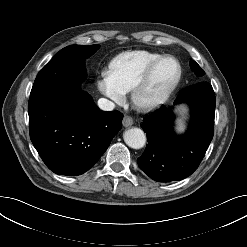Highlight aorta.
<instances>
[{
  "label": "aorta",
  "mask_w": 247,
  "mask_h": 247,
  "mask_svg": "<svg viewBox=\"0 0 247 247\" xmlns=\"http://www.w3.org/2000/svg\"><path fill=\"white\" fill-rule=\"evenodd\" d=\"M123 139L125 143L133 149H140L144 147L146 143V135L139 128H131L126 130L123 134Z\"/></svg>",
  "instance_id": "aorta-1"
}]
</instances>
